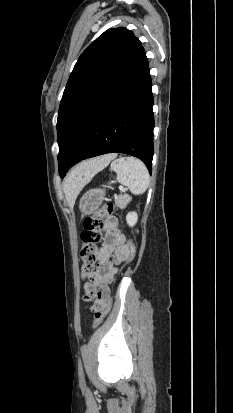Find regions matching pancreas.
Returning <instances> with one entry per match:
<instances>
[{"label": "pancreas", "instance_id": "pancreas-1", "mask_svg": "<svg viewBox=\"0 0 233 413\" xmlns=\"http://www.w3.org/2000/svg\"><path fill=\"white\" fill-rule=\"evenodd\" d=\"M129 201H130V198L126 195L118 196L115 199V203L119 208H124L128 204Z\"/></svg>", "mask_w": 233, "mask_h": 413}]
</instances>
